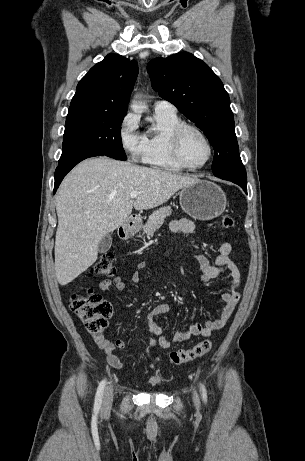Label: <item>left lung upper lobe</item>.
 Returning a JSON list of instances; mask_svg holds the SVG:
<instances>
[{
	"mask_svg": "<svg viewBox=\"0 0 305 461\" xmlns=\"http://www.w3.org/2000/svg\"><path fill=\"white\" fill-rule=\"evenodd\" d=\"M153 89L205 133L214 148L212 171L221 179L247 181L229 95L218 76L193 54L155 58L147 66Z\"/></svg>",
	"mask_w": 305,
	"mask_h": 461,
	"instance_id": "5c2ea615",
	"label": "left lung upper lobe"
}]
</instances>
